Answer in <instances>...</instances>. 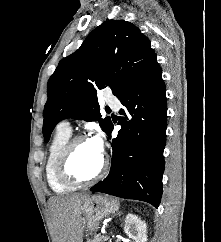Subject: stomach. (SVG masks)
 <instances>
[{
	"instance_id": "stomach-1",
	"label": "stomach",
	"mask_w": 221,
	"mask_h": 242,
	"mask_svg": "<svg viewBox=\"0 0 221 242\" xmlns=\"http://www.w3.org/2000/svg\"><path fill=\"white\" fill-rule=\"evenodd\" d=\"M119 209V202L104 195H92L86 198L81 207L83 227L90 232L96 231L103 218L115 213Z\"/></svg>"
}]
</instances>
